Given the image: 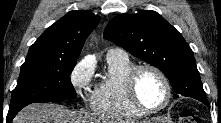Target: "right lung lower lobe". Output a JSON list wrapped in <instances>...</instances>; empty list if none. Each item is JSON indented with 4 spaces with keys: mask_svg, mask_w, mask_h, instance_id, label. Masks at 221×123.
<instances>
[{
    "mask_svg": "<svg viewBox=\"0 0 221 123\" xmlns=\"http://www.w3.org/2000/svg\"><path fill=\"white\" fill-rule=\"evenodd\" d=\"M17 114V113H16ZM15 113L14 114H9L8 113V119L9 121H12V119L14 118V116L16 115Z\"/></svg>",
    "mask_w": 221,
    "mask_h": 123,
    "instance_id": "1",
    "label": "right lung lower lobe"
}]
</instances>
